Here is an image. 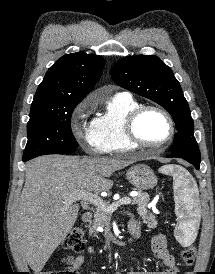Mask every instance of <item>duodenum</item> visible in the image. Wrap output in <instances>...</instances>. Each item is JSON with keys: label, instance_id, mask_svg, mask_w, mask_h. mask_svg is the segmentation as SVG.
<instances>
[{"label": "duodenum", "instance_id": "410a0bca", "mask_svg": "<svg viewBox=\"0 0 215 274\" xmlns=\"http://www.w3.org/2000/svg\"><path fill=\"white\" fill-rule=\"evenodd\" d=\"M91 218H92V213L90 211H86L82 215V221L85 223L89 222ZM129 233L131 234L132 237H136L139 234V230L136 228L129 227Z\"/></svg>", "mask_w": 215, "mask_h": 274}]
</instances>
